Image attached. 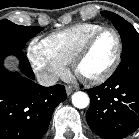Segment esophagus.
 <instances>
[{
  "mask_svg": "<svg viewBox=\"0 0 139 139\" xmlns=\"http://www.w3.org/2000/svg\"><path fill=\"white\" fill-rule=\"evenodd\" d=\"M74 91V88L72 86H66V93L70 95Z\"/></svg>",
  "mask_w": 139,
  "mask_h": 139,
  "instance_id": "34e87169",
  "label": "esophagus"
}]
</instances>
